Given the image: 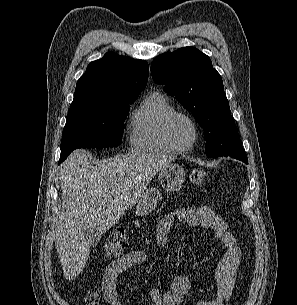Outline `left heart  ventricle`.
I'll use <instances>...</instances> for the list:
<instances>
[{
    "instance_id": "obj_1",
    "label": "left heart ventricle",
    "mask_w": 297,
    "mask_h": 305,
    "mask_svg": "<svg viewBox=\"0 0 297 305\" xmlns=\"http://www.w3.org/2000/svg\"><path fill=\"white\" fill-rule=\"evenodd\" d=\"M171 136L178 146H188L194 136L190 122L183 117L176 118L171 124Z\"/></svg>"
}]
</instances>
